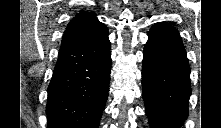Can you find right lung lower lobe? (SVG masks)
Masks as SVG:
<instances>
[{
	"label": "right lung lower lobe",
	"mask_w": 221,
	"mask_h": 128,
	"mask_svg": "<svg viewBox=\"0 0 221 128\" xmlns=\"http://www.w3.org/2000/svg\"><path fill=\"white\" fill-rule=\"evenodd\" d=\"M107 36L94 44L61 48L48 87V128H98L111 71Z\"/></svg>",
	"instance_id": "right-lung-lower-lobe-1"
}]
</instances>
